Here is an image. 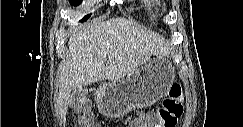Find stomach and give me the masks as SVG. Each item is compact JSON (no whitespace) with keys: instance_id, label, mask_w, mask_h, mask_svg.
<instances>
[{"instance_id":"stomach-1","label":"stomach","mask_w":243,"mask_h":127,"mask_svg":"<svg viewBox=\"0 0 243 127\" xmlns=\"http://www.w3.org/2000/svg\"><path fill=\"white\" fill-rule=\"evenodd\" d=\"M174 81V67L163 55H152L124 79L102 83L95 95L101 114L119 118L150 106L167 95Z\"/></svg>"}]
</instances>
